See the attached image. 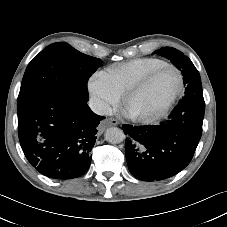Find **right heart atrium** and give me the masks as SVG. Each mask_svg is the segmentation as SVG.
Listing matches in <instances>:
<instances>
[{
	"label": "right heart atrium",
	"mask_w": 227,
	"mask_h": 227,
	"mask_svg": "<svg viewBox=\"0 0 227 227\" xmlns=\"http://www.w3.org/2000/svg\"><path fill=\"white\" fill-rule=\"evenodd\" d=\"M88 92L98 111L106 113L121 98L105 71L94 73L87 82Z\"/></svg>",
	"instance_id": "1"
}]
</instances>
